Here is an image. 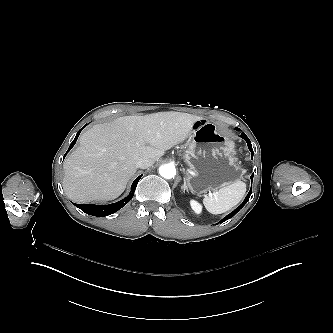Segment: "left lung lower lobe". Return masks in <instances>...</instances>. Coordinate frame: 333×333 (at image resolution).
Returning a JSON list of instances; mask_svg holds the SVG:
<instances>
[{"mask_svg":"<svg viewBox=\"0 0 333 333\" xmlns=\"http://www.w3.org/2000/svg\"><path fill=\"white\" fill-rule=\"evenodd\" d=\"M236 130H240V129H238V128H236ZM241 138H243L246 142H247V145H248V148H249V150H250V152H251V154L253 155V149H252V145H251V142H250V140L248 139V137L244 134V133H242L241 135ZM251 180H253V176H251ZM251 193H252V188L250 189V191H249V193H248V195L246 196V198H245V200L243 201V203L239 206V207H237L233 212H231L230 214H228L226 217H224L221 221H220V223H222V222H224V221H226V220H228V219H230V218H232L246 203H247V201L249 200V198H250V195H251Z\"/></svg>","mask_w":333,"mask_h":333,"instance_id":"left-lung-lower-lobe-1","label":"left lung lower lobe"}]
</instances>
